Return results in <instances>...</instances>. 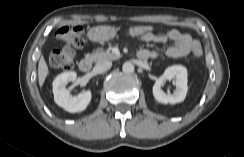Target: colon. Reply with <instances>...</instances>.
<instances>
[{"label": "colon", "mask_w": 244, "mask_h": 157, "mask_svg": "<svg viewBox=\"0 0 244 157\" xmlns=\"http://www.w3.org/2000/svg\"><path fill=\"white\" fill-rule=\"evenodd\" d=\"M152 33H154V28L150 25H136L127 30V35L131 37H142ZM57 35L65 46L52 51L50 64L54 68L70 70L74 64V48H79L84 44L83 30L77 25H67L61 27ZM192 53L195 57L201 56L202 48L198 41L192 42Z\"/></svg>", "instance_id": "1"}]
</instances>
